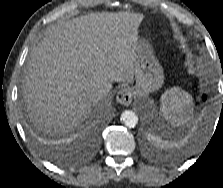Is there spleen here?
I'll return each mask as SVG.
<instances>
[{
    "label": "spleen",
    "instance_id": "3e777b00",
    "mask_svg": "<svg viewBox=\"0 0 223 188\" xmlns=\"http://www.w3.org/2000/svg\"><path fill=\"white\" fill-rule=\"evenodd\" d=\"M160 101L161 114L170 123L183 125L191 119V116L187 114L192 105V98L189 93L174 87L162 94Z\"/></svg>",
    "mask_w": 223,
    "mask_h": 188
}]
</instances>
